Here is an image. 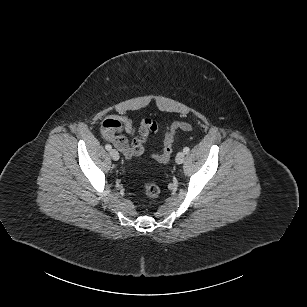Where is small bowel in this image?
Instances as JSON below:
<instances>
[{"mask_svg":"<svg viewBox=\"0 0 307 307\" xmlns=\"http://www.w3.org/2000/svg\"><path fill=\"white\" fill-rule=\"evenodd\" d=\"M158 130L157 124L151 119H144L139 126L138 135L129 144L124 133L132 134L135 131L133 121L125 115L113 114L108 116L101 125V134L106 141L112 143L127 159L141 156L144 144L150 134Z\"/></svg>","mask_w":307,"mask_h":307,"instance_id":"1","label":"small bowel"}]
</instances>
